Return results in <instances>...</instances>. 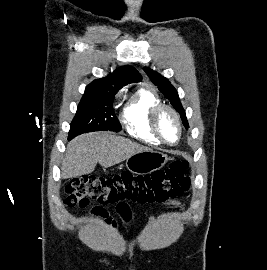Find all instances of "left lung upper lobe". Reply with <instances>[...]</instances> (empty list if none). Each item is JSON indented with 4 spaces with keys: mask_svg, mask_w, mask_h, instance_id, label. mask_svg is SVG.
Listing matches in <instances>:
<instances>
[{
    "mask_svg": "<svg viewBox=\"0 0 267 270\" xmlns=\"http://www.w3.org/2000/svg\"><path fill=\"white\" fill-rule=\"evenodd\" d=\"M144 71L152 80V82L158 86V89L164 94V96L170 101L172 106L177 112L181 114V119L186 128H189L188 122L185 116V110L183 109L178 93L176 89L170 84L169 80L150 68L145 67Z\"/></svg>",
    "mask_w": 267,
    "mask_h": 270,
    "instance_id": "5c2ea615",
    "label": "left lung upper lobe"
}]
</instances>
